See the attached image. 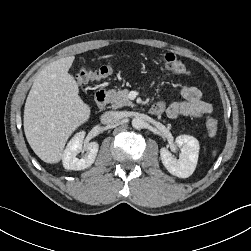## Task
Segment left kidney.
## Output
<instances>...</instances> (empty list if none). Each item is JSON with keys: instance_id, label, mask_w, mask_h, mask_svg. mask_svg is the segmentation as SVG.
I'll return each mask as SVG.
<instances>
[{"instance_id": "1", "label": "left kidney", "mask_w": 251, "mask_h": 251, "mask_svg": "<svg viewBox=\"0 0 251 251\" xmlns=\"http://www.w3.org/2000/svg\"><path fill=\"white\" fill-rule=\"evenodd\" d=\"M176 145L180 148L179 159L166 149H160V158L168 172L179 178H188L196 168L199 155L198 140L189 135H180L175 139Z\"/></svg>"}]
</instances>
